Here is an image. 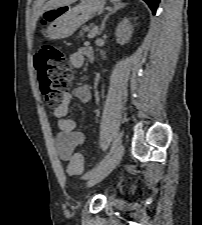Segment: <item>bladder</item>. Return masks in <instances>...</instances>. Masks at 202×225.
<instances>
[{"label":"bladder","instance_id":"bladder-1","mask_svg":"<svg viewBox=\"0 0 202 225\" xmlns=\"http://www.w3.org/2000/svg\"><path fill=\"white\" fill-rule=\"evenodd\" d=\"M85 185L81 186V189H84ZM102 193L106 196L107 199H110V192L108 190H103Z\"/></svg>","mask_w":202,"mask_h":225}]
</instances>
